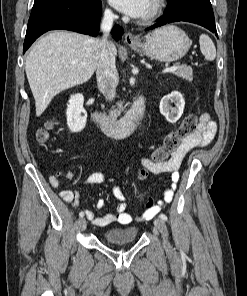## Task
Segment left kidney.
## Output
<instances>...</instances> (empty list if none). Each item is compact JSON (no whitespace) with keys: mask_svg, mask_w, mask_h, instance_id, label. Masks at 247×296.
<instances>
[{"mask_svg":"<svg viewBox=\"0 0 247 296\" xmlns=\"http://www.w3.org/2000/svg\"><path fill=\"white\" fill-rule=\"evenodd\" d=\"M170 102L175 104V107L170 106ZM185 100L181 93L174 92L171 95L164 96L159 105L160 113L170 123H176L183 114Z\"/></svg>","mask_w":247,"mask_h":296,"instance_id":"left-kidney-1","label":"left kidney"}]
</instances>
